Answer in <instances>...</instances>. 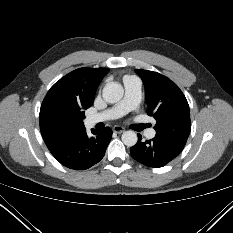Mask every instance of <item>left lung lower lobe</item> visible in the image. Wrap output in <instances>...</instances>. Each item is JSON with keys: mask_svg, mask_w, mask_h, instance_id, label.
<instances>
[{"mask_svg": "<svg viewBox=\"0 0 233 233\" xmlns=\"http://www.w3.org/2000/svg\"><path fill=\"white\" fill-rule=\"evenodd\" d=\"M141 139V135L138 134V141L130 148V153L136 161L148 167L165 166L176 158L184 148V146L158 137L144 142Z\"/></svg>", "mask_w": 233, "mask_h": 233, "instance_id": "1", "label": "left lung lower lobe"}]
</instances>
